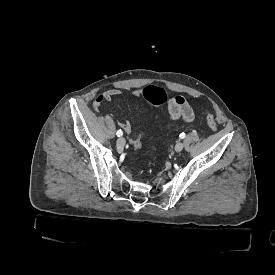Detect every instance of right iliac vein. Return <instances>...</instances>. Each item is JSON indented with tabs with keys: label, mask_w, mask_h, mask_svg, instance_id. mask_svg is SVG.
I'll use <instances>...</instances> for the list:
<instances>
[{
	"label": "right iliac vein",
	"mask_w": 275,
	"mask_h": 275,
	"mask_svg": "<svg viewBox=\"0 0 275 275\" xmlns=\"http://www.w3.org/2000/svg\"><path fill=\"white\" fill-rule=\"evenodd\" d=\"M125 144H126L125 138H123V137L118 138V140H117V146H118V148L124 147Z\"/></svg>",
	"instance_id": "63e3f726"
}]
</instances>
